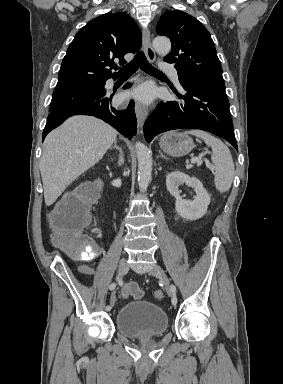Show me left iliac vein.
<instances>
[{
    "instance_id": "left-iliac-vein-1",
    "label": "left iliac vein",
    "mask_w": 283,
    "mask_h": 384,
    "mask_svg": "<svg viewBox=\"0 0 283 384\" xmlns=\"http://www.w3.org/2000/svg\"><path fill=\"white\" fill-rule=\"evenodd\" d=\"M148 273L152 276H155L159 278L163 285L164 289L166 290L168 295H171V284L168 276L166 275L165 271L159 266V265H154Z\"/></svg>"
}]
</instances>
